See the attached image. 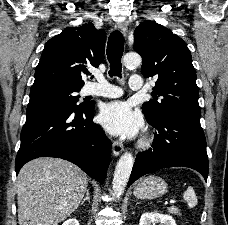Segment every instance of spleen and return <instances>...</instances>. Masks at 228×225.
Wrapping results in <instances>:
<instances>
[{"label": "spleen", "mask_w": 228, "mask_h": 225, "mask_svg": "<svg viewBox=\"0 0 228 225\" xmlns=\"http://www.w3.org/2000/svg\"><path fill=\"white\" fill-rule=\"evenodd\" d=\"M183 199L187 201L189 209H194L197 205V197L193 187H188L187 191L183 193Z\"/></svg>", "instance_id": "3e777b00"}]
</instances>
